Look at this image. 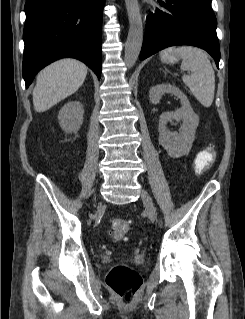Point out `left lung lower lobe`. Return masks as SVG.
I'll return each instance as SVG.
<instances>
[{
  "label": "left lung lower lobe",
  "instance_id": "0a47b994",
  "mask_svg": "<svg viewBox=\"0 0 245 319\" xmlns=\"http://www.w3.org/2000/svg\"><path fill=\"white\" fill-rule=\"evenodd\" d=\"M165 8L146 18L139 59L174 45H193L206 50L218 67L220 60L217 21L211 5L198 0H158Z\"/></svg>",
  "mask_w": 245,
  "mask_h": 319
}]
</instances>
